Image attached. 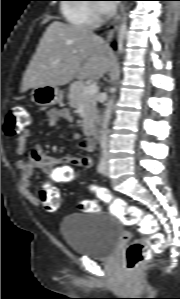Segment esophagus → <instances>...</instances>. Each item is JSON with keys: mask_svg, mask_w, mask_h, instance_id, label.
Masks as SVG:
<instances>
[{"mask_svg": "<svg viewBox=\"0 0 180 299\" xmlns=\"http://www.w3.org/2000/svg\"><path fill=\"white\" fill-rule=\"evenodd\" d=\"M123 10H124V5H121L117 16L114 18V20L111 22V24L108 27L107 34H106L107 43H110L114 37Z\"/></svg>", "mask_w": 180, "mask_h": 299, "instance_id": "1", "label": "esophagus"}]
</instances>
